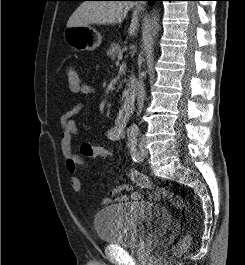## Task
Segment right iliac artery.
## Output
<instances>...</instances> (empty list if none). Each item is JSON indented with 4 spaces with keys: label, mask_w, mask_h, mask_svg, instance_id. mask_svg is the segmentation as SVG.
Here are the masks:
<instances>
[{
    "label": "right iliac artery",
    "mask_w": 245,
    "mask_h": 265,
    "mask_svg": "<svg viewBox=\"0 0 245 265\" xmlns=\"http://www.w3.org/2000/svg\"><path fill=\"white\" fill-rule=\"evenodd\" d=\"M128 136H129V137L134 136V132H130V133H128Z\"/></svg>",
    "instance_id": "1"
}]
</instances>
